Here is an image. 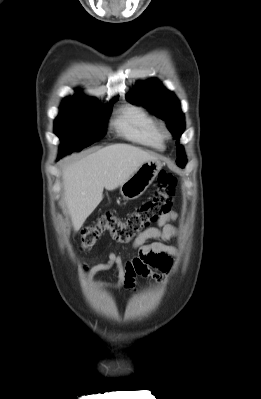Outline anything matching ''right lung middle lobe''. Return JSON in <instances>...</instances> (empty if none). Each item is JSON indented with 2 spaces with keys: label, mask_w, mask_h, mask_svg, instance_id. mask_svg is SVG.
<instances>
[{
  "label": "right lung middle lobe",
  "mask_w": 261,
  "mask_h": 399,
  "mask_svg": "<svg viewBox=\"0 0 261 399\" xmlns=\"http://www.w3.org/2000/svg\"><path fill=\"white\" fill-rule=\"evenodd\" d=\"M103 105L96 100L63 101L60 114L55 119V134L60 138L59 154L80 151L106 133V121L113 103Z\"/></svg>",
  "instance_id": "obj_1"
}]
</instances>
